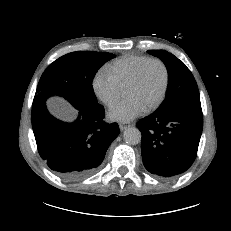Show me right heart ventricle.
Segmentation results:
<instances>
[{
    "instance_id": "e07e8e85",
    "label": "right heart ventricle",
    "mask_w": 231,
    "mask_h": 231,
    "mask_svg": "<svg viewBox=\"0 0 231 231\" xmlns=\"http://www.w3.org/2000/svg\"><path fill=\"white\" fill-rule=\"evenodd\" d=\"M150 59V57L139 54H127L121 56L105 68L111 73L121 90L125 89L134 76L139 66Z\"/></svg>"
}]
</instances>
